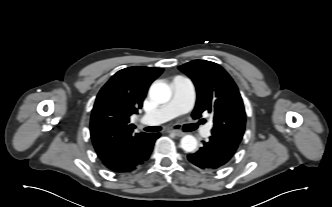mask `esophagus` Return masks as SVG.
<instances>
[{
  "label": "esophagus",
  "instance_id": "obj_1",
  "mask_svg": "<svg viewBox=\"0 0 332 207\" xmlns=\"http://www.w3.org/2000/svg\"><path fill=\"white\" fill-rule=\"evenodd\" d=\"M168 132L171 133V134H174V135L177 136V137H182V136H184V133L181 132V131H178V130H173V129H171V130H169Z\"/></svg>",
  "mask_w": 332,
  "mask_h": 207
}]
</instances>
